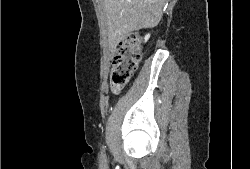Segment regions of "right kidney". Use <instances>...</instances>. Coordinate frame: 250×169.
I'll list each match as a JSON object with an SVG mask.
<instances>
[{"mask_svg": "<svg viewBox=\"0 0 250 169\" xmlns=\"http://www.w3.org/2000/svg\"><path fill=\"white\" fill-rule=\"evenodd\" d=\"M149 36H150V34H146L145 40H148Z\"/></svg>", "mask_w": 250, "mask_h": 169, "instance_id": "1", "label": "right kidney"}]
</instances>
